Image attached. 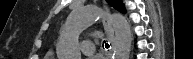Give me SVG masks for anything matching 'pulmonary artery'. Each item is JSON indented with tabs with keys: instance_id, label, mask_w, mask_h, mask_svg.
<instances>
[{
	"instance_id": "e3ab8cb5",
	"label": "pulmonary artery",
	"mask_w": 193,
	"mask_h": 59,
	"mask_svg": "<svg viewBox=\"0 0 193 59\" xmlns=\"http://www.w3.org/2000/svg\"><path fill=\"white\" fill-rule=\"evenodd\" d=\"M82 51L86 55L93 54L95 52V44L92 41L84 40L81 43Z\"/></svg>"
}]
</instances>
